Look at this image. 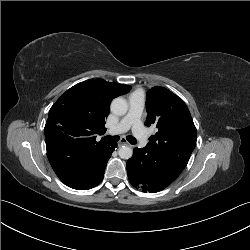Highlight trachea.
<instances>
[{"mask_svg": "<svg viewBox=\"0 0 250 250\" xmlns=\"http://www.w3.org/2000/svg\"><path fill=\"white\" fill-rule=\"evenodd\" d=\"M105 139L111 142H117L119 141L120 137L119 136H105ZM126 139L132 144H136L137 141L133 136H127Z\"/></svg>", "mask_w": 250, "mask_h": 250, "instance_id": "3493384b", "label": "trachea"}]
</instances>
